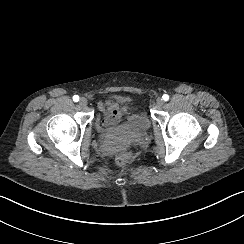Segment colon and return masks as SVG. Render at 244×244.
I'll list each match as a JSON object with an SVG mask.
<instances>
[{"label":"colon","mask_w":244,"mask_h":244,"mask_svg":"<svg viewBox=\"0 0 244 244\" xmlns=\"http://www.w3.org/2000/svg\"><path fill=\"white\" fill-rule=\"evenodd\" d=\"M117 162L121 166H127V165L130 164L131 159L127 155H121V156L118 157Z\"/></svg>","instance_id":"obj_1"}]
</instances>
